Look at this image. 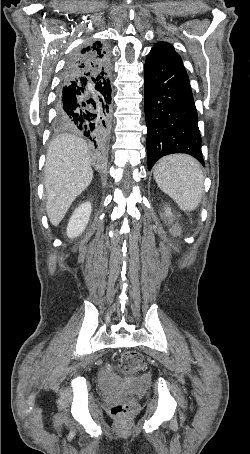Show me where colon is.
I'll return each instance as SVG.
<instances>
[{
  "label": "colon",
  "mask_w": 250,
  "mask_h": 454,
  "mask_svg": "<svg viewBox=\"0 0 250 454\" xmlns=\"http://www.w3.org/2000/svg\"><path fill=\"white\" fill-rule=\"evenodd\" d=\"M118 368L123 374L133 375L140 373L145 367L143 356L136 351H124L118 357ZM134 406L131 398H123L116 401L110 408L113 415L122 417L126 415Z\"/></svg>",
  "instance_id": "obj_1"
}]
</instances>
